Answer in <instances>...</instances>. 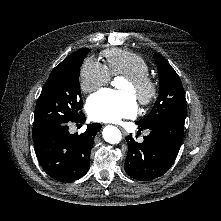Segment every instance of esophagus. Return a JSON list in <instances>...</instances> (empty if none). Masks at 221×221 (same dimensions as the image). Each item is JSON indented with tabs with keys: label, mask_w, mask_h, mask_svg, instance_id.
<instances>
[{
	"label": "esophagus",
	"mask_w": 221,
	"mask_h": 221,
	"mask_svg": "<svg viewBox=\"0 0 221 221\" xmlns=\"http://www.w3.org/2000/svg\"><path fill=\"white\" fill-rule=\"evenodd\" d=\"M119 129L121 130V132L123 133V135H127V132H126L122 127L119 126Z\"/></svg>",
	"instance_id": "esophagus-1"
}]
</instances>
